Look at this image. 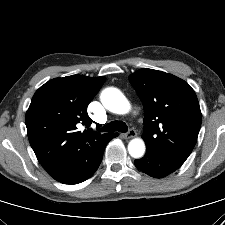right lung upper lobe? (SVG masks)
<instances>
[{
	"label": "right lung upper lobe",
	"instance_id": "right-lung-upper-lobe-1",
	"mask_svg": "<svg viewBox=\"0 0 225 225\" xmlns=\"http://www.w3.org/2000/svg\"><path fill=\"white\" fill-rule=\"evenodd\" d=\"M105 80L83 75L55 78L34 94L25 123L31 147L50 176L70 164L91 161L97 148L112 134L77 129L79 124L89 127L93 122L87 106Z\"/></svg>",
	"mask_w": 225,
	"mask_h": 225
}]
</instances>
